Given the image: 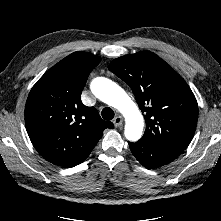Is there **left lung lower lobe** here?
Instances as JSON below:
<instances>
[{"instance_id":"0a47b994","label":"left lung lower lobe","mask_w":221,"mask_h":221,"mask_svg":"<svg viewBox=\"0 0 221 221\" xmlns=\"http://www.w3.org/2000/svg\"><path fill=\"white\" fill-rule=\"evenodd\" d=\"M129 146L136 159L146 168L161 167L179 156L142 139L136 143L129 142Z\"/></svg>"}]
</instances>
